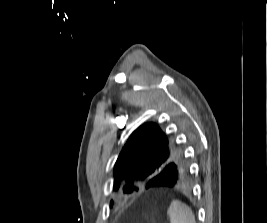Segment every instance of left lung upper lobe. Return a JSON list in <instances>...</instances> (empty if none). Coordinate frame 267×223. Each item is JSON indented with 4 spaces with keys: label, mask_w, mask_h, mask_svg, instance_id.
<instances>
[{
    "label": "left lung upper lobe",
    "mask_w": 267,
    "mask_h": 223,
    "mask_svg": "<svg viewBox=\"0 0 267 223\" xmlns=\"http://www.w3.org/2000/svg\"><path fill=\"white\" fill-rule=\"evenodd\" d=\"M164 171H188L183 153L156 123L143 124L131 134L115 163L113 190L138 191V182H150L153 173Z\"/></svg>",
    "instance_id": "left-lung-upper-lobe-1"
}]
</instances>
